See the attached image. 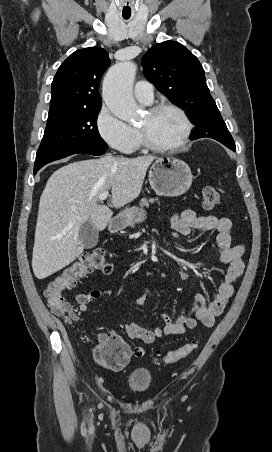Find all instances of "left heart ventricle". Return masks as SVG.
Instances as JSON below:
<instances>
[{"label": "left heart ventricle", "instance_id": "left-heart-ventricle-1", "mask_svg": "<svg viewBox=\"0 0 272 452\" xmlns=\"http://www.w3.org/2000/svg\"><path fill=\"white\" fill-rule=\"evenodd\" d=\"M138 126L142 127L149 140L157 145L175 143L183 127L180 117L169 110H162L155 114L147 113Z\"/></svg>", "mask_w": 272, "mask_h": 452}]
</instances>
